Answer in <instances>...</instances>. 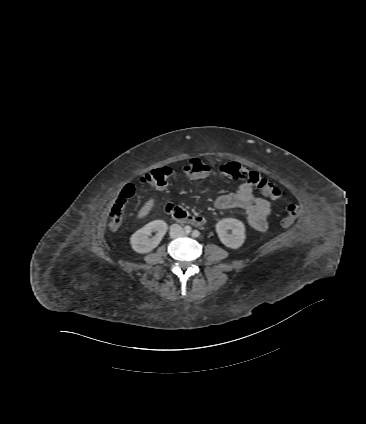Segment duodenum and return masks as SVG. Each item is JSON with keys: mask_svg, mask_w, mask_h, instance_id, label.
I'll list each match as a JSON object with an SVG mask.
<instances>
[{"mask_svg": "<svg viewBox=\"0 0 366 424\" xmlns=\"http://www.w3.org/2000/svg\"><path fill=\"white\" fill-rule=\"evenodd\" d=\"M166 212L170 214L179 223H191L202 226L205 224V219L202 216L191 215L183 208L167 204Z\"/></svg>", "mask_w": 366, "mask_h": 424, "instance_id": "duodenum-1", "label": "duodenum"}]
</instances>
